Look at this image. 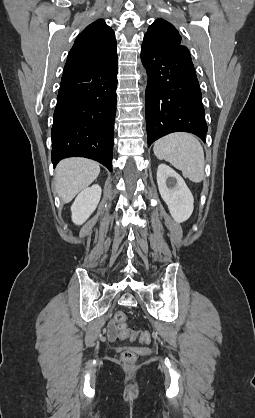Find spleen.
Segmentation results:
<instances>
[{
    "label": "spleen",
    "mask_w": 255,
    "mask_h": 418,
    "mask_svg": "<svg viewBox=\"0 0 255 418\" xmlns=\"http://www.w3.org/2000/svg\"><path fill=\"white\" fill-rule=\"evenodd\" d=\"M154 154L160 160L171 163L185 178L200 183L205 177L204 151L198 139L189 133L166 135L154 143Z\"/></svg>",
    "instance_id": "3e777b00"
}]
</instances>
